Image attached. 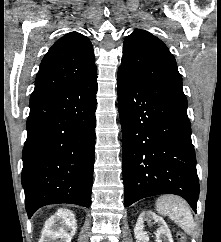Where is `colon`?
I'll return each mask as SVG.
<instances>
[{
	"mask_svg": "<svg viewBox=\"0 0 221 242\" xmlns=\"http://www.w3.org/2000/svg\"><path fill=\"white\" fill-rule=\"evenodd\" d=\"M180 242H185L184 237L182 235H179Z\"/></svg>",
	"mask_w": 221,
	"mask_h": 242,
	"instance_id": "colon-1",
	"label": "colon"
}]
</instances>
